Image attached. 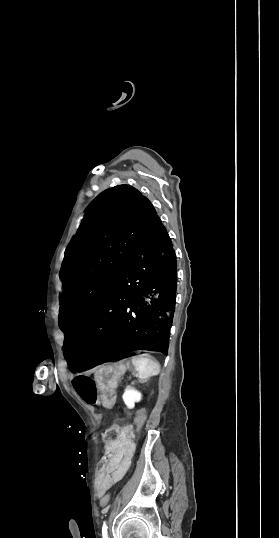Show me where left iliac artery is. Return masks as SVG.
Wrapping results in <instances>:
<instances>
[{
	"label": "left iliac artery",
	"instance_id": "left-iliac-artery-1",
	"mask_svg": "<svg viewBox=\"0 0 279 538\" xmlns=\"http://www.w3.org/2000/svg\"><path fill=\"white\" fill-rule=\"evenodd\" d=\"M102 536H103V538H108L106 522H104L103 527H102Z\"/></svg>",
	"mask_w": 279,
	"mask_h": 538
}]
</instances>
